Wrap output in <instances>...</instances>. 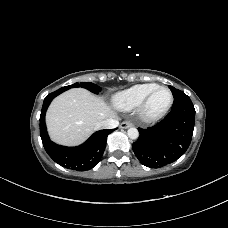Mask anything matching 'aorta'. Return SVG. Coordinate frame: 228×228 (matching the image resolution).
Returning a JSON list of instances; mask_svg holds the SVG:
<instances>
[{"label":"aorta","instance_id":"obj_1","mask_svg":"<svg viewBox=\"0 0 228 228\" xmlns=\"http://www.w3.org/2000/svg\"><path fill=\"white\" fill-rule=\"evenodd\" d=\"M127 135H128V137L130 139L135 140V139H137L139 137V132H138V130L136 128L131 127V128L128 129Z\"/></svg>","mask_w":228,"mask_h":228}]
</instances>
